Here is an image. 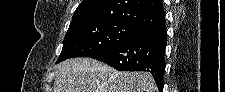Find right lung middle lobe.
I'll return each instance as SVG.
<instances>
[{"instance_id":"obj_1","label":"right lung middle lobe","mask_w":225,"mask_h":92,"mask_svg":"<svg viewBox=\"0 0 225 92\" xmlns=\"http://www.w3.org/2000/svg\"><path fill=\"white\" fill-rule=\"evenodd\" d=\"M141 33V30L120 22L89 23L69 28L56 63L73 57H93L128 42Z\"/></svg>"}]
</instances>
